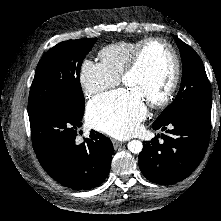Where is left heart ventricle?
<instances>
[{
    "label": "left heart ventricle",
    "instance_id": "obj_1",
    "mask_svg": "<svg viewBox=\"0 0 221 221\" xmlns=\"http://www.w3.org/2000/svg\"><path fill=\"white\" fill-rule=\"evenodd\" d=\"M171 68L167 49L161 44H152L144 51L137 70L126 78L124 85L148 103L165 91Z\"/></svg>",
    "mask_w": 221,
    "mask_h": 221
}]
</instances>
